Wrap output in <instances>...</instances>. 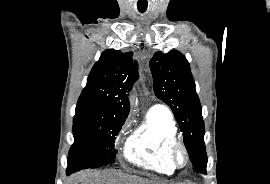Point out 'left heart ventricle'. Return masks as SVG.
<instances>
[{"instance_id":"b2bd125f","label":"left heart ventricle","mask_w":270,"mask_h":184,"mask_svg":"<svg viewBox=\"0 0 270 184\" xmlns=\"http://www.w3.org/2000/svg\"><path fill=\"white\" fill-rule=\"evenodd\" d=\"M180 159H181V160L183 159L182 155H180Z\"/></svg>"}]
</instances>
